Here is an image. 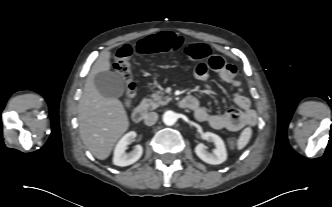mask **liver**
Instances as JSON below:
<instances>
[{"mask_svg": "<svg viewBox=\"0 0 332 207\" xmlns=\"http://www.w3.org/2000/svg\"><path fill=\"white\" fill-rule=\"evenodd\" d=\"M111 53L103 52L96 60L79 101L80 136L89 151L99 160H105L115 143L129 128L125 108L117 98L102 96L94 84L96 74L111 67Z\"/></svg>", "mask_w": 332, "mask_h": 207, "instance_id": "6515ba94", "label": "liver"}]
</instances>
